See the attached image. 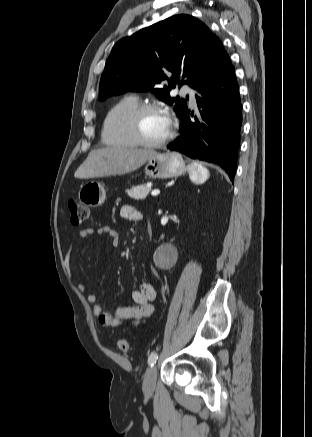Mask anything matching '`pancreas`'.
<instances>
[{
	"label": "pancreas",
	"mask_w": 312,
	"mask_h": 437,
	"mask_svg": "<svg viewBox=\"0 0 312 437\" xmlns=\"http://www.w3.org/2000/svg\"><path fill=\"white\" fill-rule=\"evenodd\" d=\"M151 190V187L147 186L146 184H142L139 186H135L130 190H127V194L128 196H130L131 198L135 199V200H142L145 199L147 197V195L149 194Z\"/></svg>",
	"instance_id": "cf45deb5"
}]
</instances>
